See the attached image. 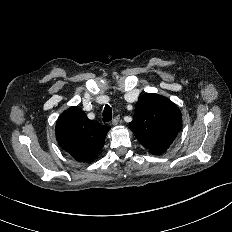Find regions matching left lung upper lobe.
<instances>
[{
    "instance_id": "5c2ea615",
    "label": "left lung upper lobe",
    "mask_w": 232,
    "mask_h": 232,
    "mask_svg": "<svg viewBox=\"0 0 232 232\" xmlns=\"http://www.w3.org/2000/svg\"><path fill=\"white\" fill-rule=\"evenodd\" d=\"M130 129L152 154L167 150L182 128V115L168 98L158 94L139 97Z\"/></svg>"
}]
</instances>
